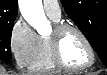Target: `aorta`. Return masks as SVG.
<instances>
[{"label": "aorta", "instance_id": "aorta-1", "mask_svg": "<svg viewBox=\"0 0 107 75\" xmlns=\"http://www.w3.org/2000/svg\"><path fill=\"white\" fill-rule=\"evenodd\" d=\"M19 8L22 16L39 34H45L49 27L42 0H19Z\"/></svg>", "mask_w": 107, "mask_h": 75}]
</instances>
